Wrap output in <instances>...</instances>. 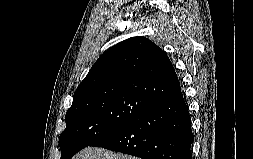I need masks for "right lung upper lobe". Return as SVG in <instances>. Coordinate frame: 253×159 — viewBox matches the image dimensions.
<instances>
[{
    "label": "right lung upper lobe",
    "mask_w": 253,
    "mask_h": 159,
    "mask_svg": "<svg viewBox=\"0 0 253 159\" xmlns=\"http://www.w3.org/2000/svg\"><path fill=\"white\" fill-rule=\"evenodd\" d=\"M181 89L167 55L145 37H132L111 47L77 87L73 101L129 94L160 101Z\"/></svg>",
    "instance_id": "cb5924a9"
}]
</instances>
